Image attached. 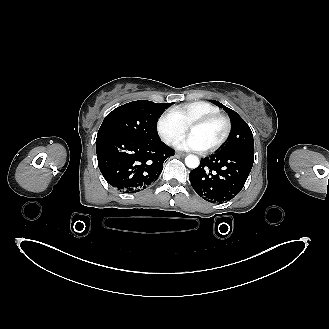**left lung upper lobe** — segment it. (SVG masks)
<instances>
[{"mask_svg":"<svg viewBox=\"0 0 329 329\" xmlns=\"http://www.w3.org/2000/svg\"><path fill=\"white\" fill-rule=\"evenodd\" d=\"M218 107L223 108L231 120V135L228 142L219 152L241 151L254 153L253 134L248 124L238 115L237 112L229 109L220 102L212 100Z\"/></svg>","mask_w":329,"mask_h":329,"instance_id":"1","label":"left lung upper lobe"}]
</instances>
